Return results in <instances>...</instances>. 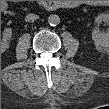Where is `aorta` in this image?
Here are the masks:
<instances>
[{"label":"aorta","mask_w":109,"mask_h":109,"mask_svg":"<svg viewBox=\"0 0 109 109\" xmlns=\"http://www.w3.org/2000/svg\"><path fill=\"white\" fill-rule=\"evenodd\" d=\"M48 23L51 25V26H57L59 25L60 23V17L56 14H51L49 17H48Z\"/></svg>","instance_id":"obj_1"}]
</instances>
